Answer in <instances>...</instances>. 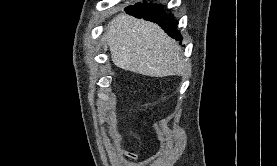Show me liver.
<instances>
[{"instance_id":"1","label":"liver","mask_w":277,"mask_h":166,"mask_svg":"<svg viewBox=\"0 0 277 166\" xmlns=\"http://www.w3.org/2000/svg\"><path fill=\"white\" fill-rule=\"evenodd\" d=\"M104 36L121 69L151 77L185 72L181 47L152 22L123 13L111 20Z\"/></svg>"}]
</instances>
